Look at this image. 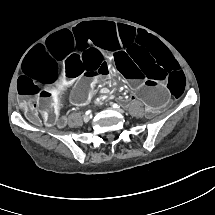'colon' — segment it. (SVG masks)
Listing matches in <instances>:
<instances>
[{
    "label": "colon",
    "instance_id": "obj_1",
    "mask_svg": "<svg viewBox=\"0 0 215 215\" xmlns=\"http://www.w3.org/2000/svg\"><path fill=\"white\" fill-rule=\"evenodd\" d=\"M40 107L42 111L45 113V121L46 124L51 126L56 123L58 118V111L55 107V104L52 98H43L40 100ZM27 117L33 121L36 120V114L32 109H27L26 111Z\"/></svg>",
    "mask_w": 215,
    "mask_h": 215
}]
</instances>
